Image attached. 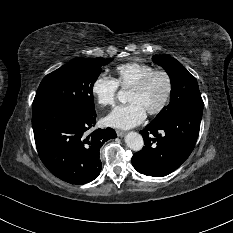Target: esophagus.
Masks as SVG:
<instances>
[{
    "label": "esophagus",
    "mask_w": 233,
    "mask_h": 233,
    "mask_svg": "<svg viewBox=\"0 0 233 233\" xmlns=\"http://www.w3.org/2000/svg\"><path fill=\"white\" fill-rule=\"evenodd\" d=\"M116 133H117L118 137H123L126 134V132H124L122 130H116Z\"/></svg>",
    "instance_id": "1"
}]
</instances>
